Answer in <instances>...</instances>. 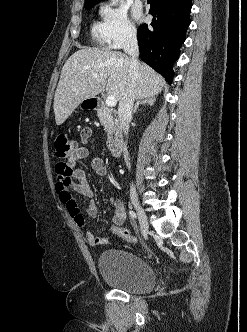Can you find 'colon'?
<instances>
[{"instance_id":"5ec220e1","label":"colon","mask_w":247,"mask_h":332,"mask_svg":"<svg viewBox=\"0 0 247 332\" xmlns=\"http://www.w3.org/2000/svg\"><path fill=\"white\" fill-rule=\"evenodd\" d=\"M55 152L59 158H70L77 150V142L66 134H58L54 142ZM112 231L126 239L128 242L135 243L137 239L125 228L112 226Z\"/></svg>"}]
</instances>
